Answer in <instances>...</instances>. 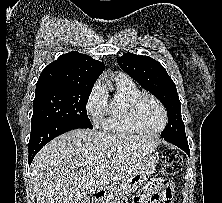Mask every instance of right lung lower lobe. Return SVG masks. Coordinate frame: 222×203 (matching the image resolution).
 I'll use <instances>...</instances> for the list:
<instances>
[{"label":"right lung lower lobe","mask_w":222,"mask_h":203,"mask_svg":"<svg viewBox=\"0 0 222 203\" xmlns=\"http://www.w3.org/2000/svg\"><path fill=\"white\" fill-rule=\"evenodd\" d=\"M88 128L71 122H50L31 128L29 165L38 151L53 138L73 129ZM91 129V128H90Z\"/></svg>","instance_id":"right-lung-lower-lobe-1"}]
</instances>
